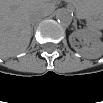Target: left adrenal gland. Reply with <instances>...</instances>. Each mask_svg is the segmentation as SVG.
<instances>
[{"mask_svg":"<svg viewBox=\"0 0 103 103\" xmlns=\"http://www.w3.org/2000/svg\"><path fill=\"white\" fill-rule=\"evenodd\" d=\"M73 25H74L75 29L77 30V24H76V22Z\"/></svg>","mask_w":103,"mask_h":103,"instance_id":"left-adrenal-gland-1","label":"left adrenal gland"}]
</instances>
